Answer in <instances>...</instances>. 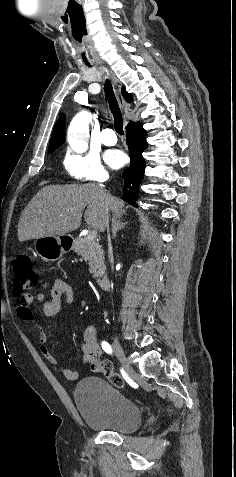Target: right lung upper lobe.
<instances>
[{
  "label": "right lung upper lobe",
  "mask_w": 236,
  "mask_h": 477,
  "mask_svg": "<svg viewBox=\"0 0 236 477\" xmlns=\"http://www.w3.org/2000/svg\"><path fill=\"white\" fill-rule=\"evenodd\" d=\"M122 95L126 99L127 102H131L132 95L127 93L125 90H122ZM135 122H130L128 125L133 124ZM138 123V122H137ZM64 125L65 120L64 117H61L56 124L54 125L53 134L49 143V150L53 148H57L62 145L65 141V134H64Z\"/></svg>",
  "instance_id": "1"
}]
</instances>
